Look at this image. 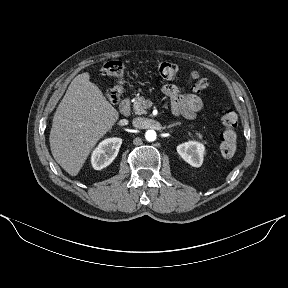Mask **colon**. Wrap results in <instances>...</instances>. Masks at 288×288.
I'll return each instance as SVG.
<instances>
[{
	"instance_id": "5ec220e1",
	"label": "colon",
	"mask_w": 288,
	"mask_h": 288,
	"mask_svg": "<svg viewBox=\"0 0 288 288\" xmlns=\"http://www.w3.org/2000/svg\"><path fill=\"white\" fill-rule=\"evenodd\" d=\"M158 74L161 78L172 80L177 75V66L173 63L162 62L157 68ZM124 68L119 61H108L102 67V74L108 77L117 79L116 85L108 90V98L112 103H116L122 93ZM191 81L194 82V89L196 91L204 90L208 87V82L205 78H201L197 73H192ZM222 124L224 132L221 136L220 152L224 158H231L234 156L237 149V138L235 129L238 125V115L234 110H228L222 117Z\"/></svg>"
}]
</instances>
